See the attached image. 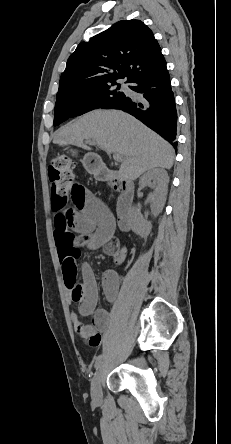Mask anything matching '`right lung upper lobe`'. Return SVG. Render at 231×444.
<instances>
[{"label": "right lung upper lobe", "mask_w": 231, "mask_h": 444, "mask_svg": "<svg viewBox=\"0 0 231 444\" xmlns=\"http://www.w3.org/2000/svg\"><path fill=\"white\" fill-rule=\"evenodd\" d=\"M166 67L152 31L140 20L119 21L80 43L67 61L59 91L65 93L116 83H132Z\"/></svg>", "instance_id": "right-lung-upper-lobe-1"}]
</instances>
